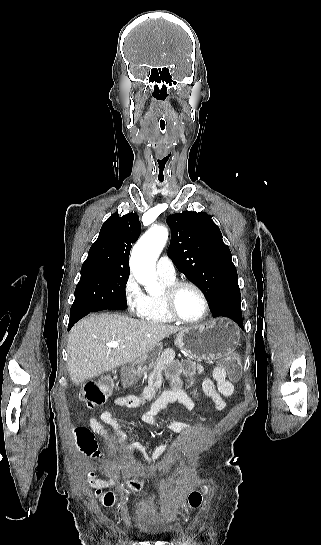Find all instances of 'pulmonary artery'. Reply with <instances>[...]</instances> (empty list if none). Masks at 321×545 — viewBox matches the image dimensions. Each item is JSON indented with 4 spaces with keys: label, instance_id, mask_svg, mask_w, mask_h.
Returning <instances> with one entry per match:
<instances>
[{
    "label": "pulmonary artery",
    "instance_id": "1",
    "mask_svg": "<svg viewBox=\"0 0 321 545\" xmlns=\"http://www.w3.org/2000/svg\"><path fill=\"white\" fill-rule=\"evenodd\" d=\"M157 272L158 274L166 279H175L176 278V270L174 267L173 262L168 257L167 254H163L159 260L157 261Z\"/></svg>",
    "mask_w": 321,
    "mask_h": 545
}]
</instances>
